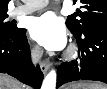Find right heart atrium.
<instances>
[{
    "mask_svg": "<svg viewBox=\"0 0 107 89\" xmlns=\"http://www.w3.org/2000/svg\"><path fill=\"white\" fill-rule=\"evenodd\" d=\"M31 53L34 57H37L39 55V49L36 46H32Z\"/></svg>",
    "mask_w": 107,
    "mask_h": 89,
    "instance_id": "obj_1",
    "label": "right heart atrium"
}]
</instances>
